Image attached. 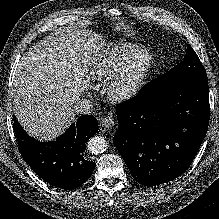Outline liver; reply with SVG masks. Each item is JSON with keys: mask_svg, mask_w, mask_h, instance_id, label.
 Here are the masks:
<instances>
[{"mask_svg": "<svg viewBox=\"0 0 219 219\" xmlns=\"http://www.w3.org/2000/svg\"><path fill=\"white\" fill-rule=\"evenodd\" d=\"M103 46L99 34L67 28L25 53L11 96L15 116L29 135L52 140L74 122V105L89 82L88 65Z\"/></svg>", "mask_w": 219, "mask_h": 219, "instance_id": "liver-1", "label": "liver"}]
</instances>
